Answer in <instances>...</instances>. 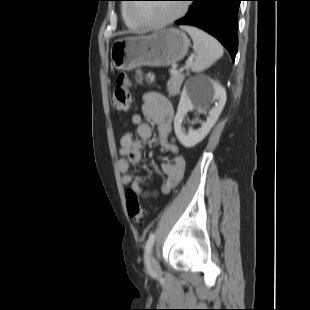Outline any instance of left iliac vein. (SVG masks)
<instances>
[{
	"label": "left iliac vein",
	"mask_w": 310,
	"mask_h": 310,
	"mask_svg": "<svg viewBox=\"0 0 310 310\" xmlns=\"http://www.w3.org/2000/svg\"><path fill=\"white\" fill-rule=\"evenodd\" d=\"M150 268L154 274L160 273L159 263L153 253L150 254Z\"/></svg>",
	"instance_id": "4c4485c4"
}]
</instances>
